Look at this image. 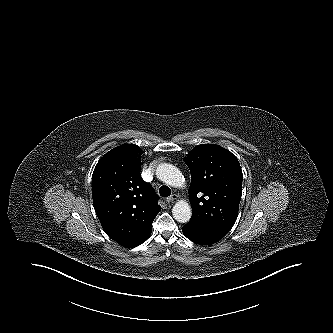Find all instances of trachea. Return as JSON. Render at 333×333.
Returning <instances> with one entry per match:
<instances>
[{
	"label": "trachea",
	"instance_id": "3493384b",
	"mask_svg": "<svg viewBox=\"0 0 333 333\" xmlns=\"http://www.w3.org/2000/svg\"><path fill=\"white\" fill-rule=\"evenodd\" d=\"M159 194L162 197H168L171 194V189L168 186H161L159 189Z\"/></svg>",
	"mask_w": 333,
	"mask_h": 333
}]
</instances>
